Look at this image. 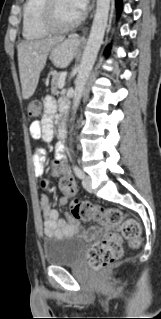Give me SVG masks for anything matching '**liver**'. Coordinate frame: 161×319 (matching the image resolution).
<instances>
[{
	"label": "liver",
	"mask_w": 161,
	"mask_h": 319,
	"mask_svg": "<svg viewBox=\"0 0 161 319\" xmlns=\"http://www.w3.org/2000/svg\"><path fill=\"white\" fill-rule=\"evenodd\" d=\"M63 39L51 37L18 44V65L24 99H29L34 94L49 51Z\"/></svg>",
	"instance_id": "obj_1"
}]
</instances>
